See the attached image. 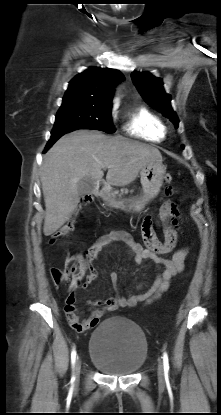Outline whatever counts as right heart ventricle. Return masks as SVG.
<instances>
[{
	"instance_id": "1",
	"label": "right heart ventricle",
	"mask_w": 221,
	"mask_h": 415,
	"mask_svg": "<svg viewBox=\"0 0 221 415\" xmlns=\"http://www.w3.org/2000/svg\"><path fill=\"white\" fill-rule=\"evenodd\" d=\"M123 129L132 137L150 142H160L167 136V127L162 118L145 106L128 112Z\"/></svg>"
}]
</instances>
